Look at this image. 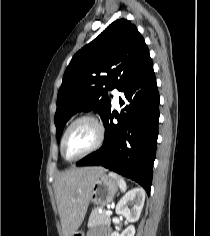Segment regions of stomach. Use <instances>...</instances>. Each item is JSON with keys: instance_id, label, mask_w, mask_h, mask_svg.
Segmentation results:
<instances>
[{"instance_id": "0dacf381", "label": "stomach", "mask_w": 210, "mask_h": 236, "mask_svg": "<svg viewBox=\"0 0 210 236\" xmlns=\"http://www.w3.org/2000/svg\"><path fill=\"white\" fill-rule=\"evenodd\" d=\"M118 182L110 175L102 174L95 179L90 193V201L100 207L109 204L118 190ZM72 236H84L82 231H76Z\"/></svg>"}]
</instances>
